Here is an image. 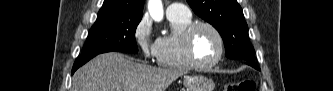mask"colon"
Wrapping results in <instances>:
<instances>
[{
  "label": "colon",
  "mask_w": 333,
  "mask_h": 91,
  "mask_svg": "<svg viewBox=\"0 0 333 91\" xmlns=\"http://www.w3.org/2000/svg\"><path fill=\"white\" fill-rule=\"evenodd\" d=\"M226 91H254L255 83L253 80L245 79L226 86Z\"/></svg>",
  "instance_id": "colon-1"
}]
</instances>
